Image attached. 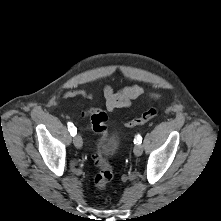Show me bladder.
<instances>
[{"instance_id": "31cf9c89", "label": "bladder", "mask_w": 221, "mask_h": 221, "mask_svg": "<svg viewBox=\"0 0 221 221\" xmlns=\"http://www.w3.org/2000/svg\"><path fill=\"white\" fill-rule=\"evenodd\" d=\"M119 138L116 135H112L110 138H107L101 142V150L104 154L112 156L114 155L119 148Z\"/></svg>"}]
</instances>
